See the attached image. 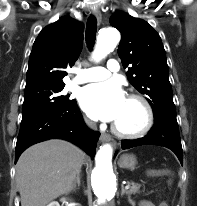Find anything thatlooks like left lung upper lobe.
<instances>
[{
    "instance_id": "1",
    "label": "left lung upper lobe",
    "mask_w": 197,
    "mask_h": 206,
    "mask_svg": "<svg viewBox=\"0 0 197 206\" xmlns=\"http://www.w3.org/2000/svg\"><path fill=\"white\" fill-rule=\"evenodd\" d=\"M122 38L118 55L130 83L146 96L154 120H176L166 53L159 34L144 20L118 11L110 18Z\"/></svg>"
}]
</instances>
